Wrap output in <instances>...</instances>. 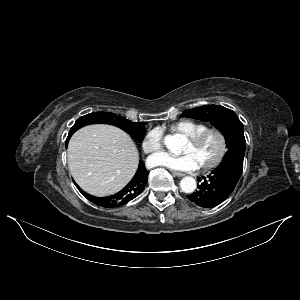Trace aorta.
<instances>
[{
    "instance_id": "aorta-1",
    "label": "aorta",
    "mask_w": 300,
    "mask_h": 300,
    "mask_svg": "<svg viewBox=\"0 0 300 300\" xmlns=\"http://www.w3.org/2000/svg\"><path fill=\"white\" fill-rule=\"evenodd\" d=\"M165 146L173 153H179L182 146V138L180 135H167L164 138ZM181 190L185 193H193L197 187L196 180L193 177L186 176L180 181Z\"/></svg>"
}]
</instances>
